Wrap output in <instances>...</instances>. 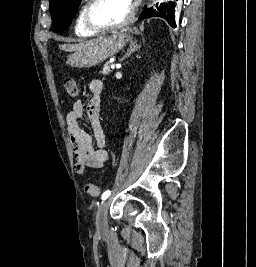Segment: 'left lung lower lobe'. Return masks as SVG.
<instances>
[{"mask_svg":"<svg viewBox=\"0 0 256 267\" xmlns=\"http://www.w3.org/2000/svg\"><path fill=\"white\" fill-rule=\"evenodd\" d=\"M172 11H173V17H172V23L170 24V26L176 27L175 16H174V13H175V3L174 2H172Z\"/></svg>","mask_w":256,"mask_h":267,"instance_id":"obj_1","label":"left lung lower lobe"}]
</instances>
